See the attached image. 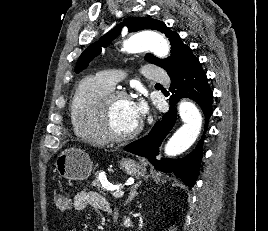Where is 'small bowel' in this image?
<instances>
[{
    "mask_svg": "<svg viewBox=\"0 0 268 231\" xmlns=\"http://www.w3.org/2000/svg\"><path fill=\"white\" fill-rule=\"evenodd\" d=\"M88 208L95 209L104 214H112L113 209L110 203L100 193L95 191H80L73 199V209L77 212ZM69 231H78L77 228H70Z\"/></svg>",
    "mask_w": 268,
    "mask_h": 231,
    "instance_id": "small-bowel-1",
    "label": "small bowel"
}]
</instances>
